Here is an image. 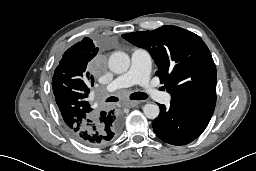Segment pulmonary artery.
Instances as JSON below:
<instances>
[{"mask_svg": "<svg viewBox=\"0 0 256 171\" xmlns=\"http://www.w3.org/2000/svg\"><path fill=\"white\" fill-rule=\"evenodd\" d=\"M151 65V55L147 50L141 48L133 49L131 53V66L129 70L123 75L114 79L112 83L107 86V90L112 92L117 89L137 84L144 88L145 92L149 96H152L163 103H169V95L159 91L150 83Z\"/></svg>", "mask_w": 256, "mask_h": 171, "instance_id": "obj_1", "label": "pulmonary artery"}]
</instances>
